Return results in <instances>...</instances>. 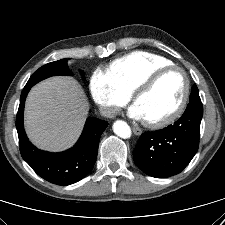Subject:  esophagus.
Masks as SVG:
<instances>
[{
  "label": "esophagus",
  "instance_id": "34e87169",
  "mask_svg": "<svg viewBox=\"0 0 225 225\" xmlns=\"http://www.w3.org/2000/svg\"><path fill=\"white\" fill-rule=\"evenodd\" d=\"M132 129H133V132H134L135 135H141L142 134L141 128L134 126Z\"/></svg>",
  "mask_w": 225,
  "mask_h": 225
}]
</instances>
